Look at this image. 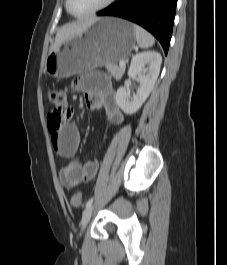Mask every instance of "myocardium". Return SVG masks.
Instances as JSON below:
<instances>
[{
  "instance_id": "f54148a6",
  "label": "myocardium",
  "mask_w": 227,
  "mask_h": 265,
  "mask_svg": "<svg viewBox=\"0 0 227 265\" xmlns=\"http://www.w3.org/2000/svg\"><path fill=\"white\" fill-rule=\"evenodd\" d=\"M114 1L115 0H105L101 5H99L98 7L94 8L93 10H91L89 12H86V13H83V14H77L71 9V4H70L71 0H66V9L72 16L77 17V18H83V17L94 15V14L106 9Z\"/></svg>"
}]
</instances>
